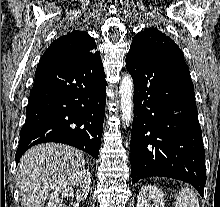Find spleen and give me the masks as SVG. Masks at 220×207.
Masks as SVG:
<instances>
[{
    "label": "spleen",
    "instance_id": "spleen-1",
    "mask_svg": "<svg viewBox=\"0 0 220 207\" xmlns=\"http://www.w3.org/2000/svg\"><path fill=\"white\" fill-rule=\"evenodd\" d=\"M176 207H199L197 195L190 188L179 191Z\"/></svg>",
    "mask_w": 220,
    "mask_h": 207
}]
</instances>
